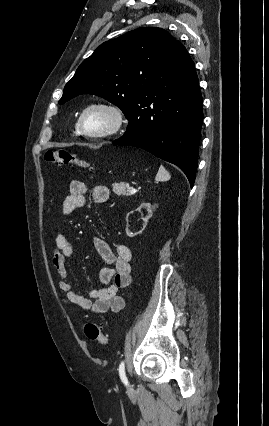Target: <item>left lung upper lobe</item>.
Segmentation results:
<instances>
[{"mask_svg": "<svg viewBox=\"0 0 269 426\" xmlns=\"http://www.w3.org/2000/svg\"><path fill=\"white\" fill-rule=\"evenodd\" d=\"M175 39L157 27H143L104 42L84 60L66 84L59 104L94 94L118 106L125 116L149 89L150 79Z\"/></svg>", "mask_w": 269, "mask_h": 426, "instance_id": "1", "label": "left lung upper lobe"}]
</instances>
